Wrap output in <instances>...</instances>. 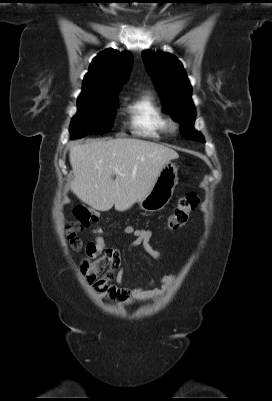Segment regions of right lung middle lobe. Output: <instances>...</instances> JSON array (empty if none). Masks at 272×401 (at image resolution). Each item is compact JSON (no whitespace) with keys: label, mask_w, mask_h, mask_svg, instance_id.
<instances>
[{"label":"right lung middle lobe","mask_w":272,"mask_h":401,"mask_svg":"<svg viewBox=\"0 0 272 401\" xmlns=\"http://www.w3.org/2000/svg\"><path fill=\"white\" fill-rule=\"evenodd\" d=\"M117 92L94 94L77 101L78 112L73 117L71 131L75 138L82 134H102L112 127Z\"/></svg>","instance_id":"dd1d6c3e"}]
</instances>
